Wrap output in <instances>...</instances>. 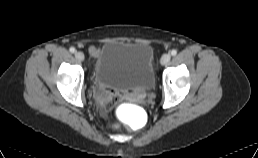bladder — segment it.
Segmentation results:
<instances>
[{
  "mask_svg": "<svg viewBox=\"0 0 258 158\" xmlns=\"http://www.w3.org/2000/svg\"><path fill=\"white\" fill-rule=\"evenodd\" d=\"M153 58L148 43L106 42L95 63V82L107 89L151 91L155 85Z\"/></svg>",
  "mask_w": 258,
  "mask_h": 158,
  "instance_id": "obj_1",
  "label": "bladder"
}]
</instances>
